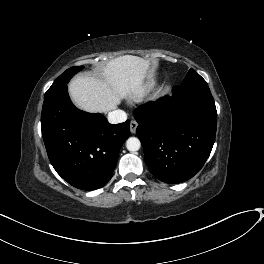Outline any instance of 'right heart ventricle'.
Returning <instances> with one entry per match:
<instances>
[{
    "label": "right heart ventricle",
    "mask_w": 264,
    "mask_h": 264,
    "mask_svg": "<svg viewBox=\"0 0 264 264\" xmlns=\"http://www.w3.org/2000/svg\"><path fill=\"white\" fill-rule=\"evenodd\" d=\"M155 84H156L155 79L148 80L144 85L142 93H145V92L149 91L150 89H152L155 86ZM139 95H141V94H139ZM137 97H139V96H134V99H136Z\"/></svg>",
    "instance_id": "1"
}]
</instances>
